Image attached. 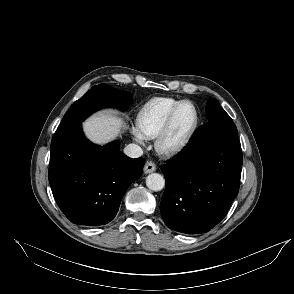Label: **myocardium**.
Wrapping results in <instances>:
<instances>
[{"label":"myocardium","instance_id":"obj_1","mask_svg":"<svg viewBox=\"0 0 294 294\" xmlns=\"http://www.w3.org/2000/svg\"><path fill=\"white\" fill-rule=\"evenodd\" d=\"M185 104H190L194 108V111H195L194 123H193L191 129L189 130V132L187 133V135L185 136V138L181 142L176 143V144H168L167 138H168L169 133L172 129L175 118H176L178 112L180 111V109L182 108V106H184ZM199 123H200V112H199L197 105L193 101L182 100L172 109V111L169 113L166 120L164 121L163 125L161 126L160 130L158 131L157 135L155 136L156 151L160 155H163L166 157H171V156H175V155L180 154L191 143V141H192V139L198 129Z\"/></svg>","mask_w":294,"mask_h":294}]
</instances>
